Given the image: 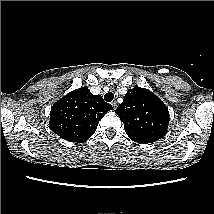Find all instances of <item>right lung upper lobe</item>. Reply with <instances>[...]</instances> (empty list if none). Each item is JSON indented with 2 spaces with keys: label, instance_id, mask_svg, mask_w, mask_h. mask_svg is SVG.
Returning <instances> with one entry per match:
<instances>
[{
  "label": "right lung upper lobe",
  "instance_id": "right-lung-upper-lobe-1",
  "mask_svg": "<svg viewBox=\"0 0 214 214\" xmlns=\"http://www.w3.org/2000/svg\"><path fill=\"white\" fill-rule=\"evenodd\" d=\"M109 110L112 106L101 95H92L87 87H81L54 103L49 127L67 141L83 143L94 134Z\"/></svg>",
  "mask_w": 214,
  "mask_h": 214
}]
</instances>
